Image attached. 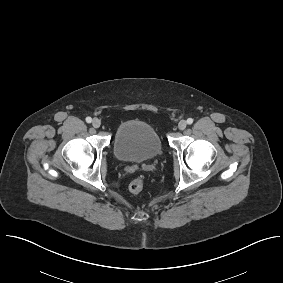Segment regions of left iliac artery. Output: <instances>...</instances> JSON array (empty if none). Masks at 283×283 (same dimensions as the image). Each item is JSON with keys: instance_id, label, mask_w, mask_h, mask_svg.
Wrapping results in <instances>:
<instances>
[{"instance_id": "left-iliac-artery-1", "label": "left iliac artery", "mask_w": 283, "mask_h": 283, "mask_svg": "<svg viewBox=\"0 0 283 283\" xmlns=\"http://www.w3.org/2000/svg\"><path fill=\"white\" fill-rule=\"evenodd\" d=\"M187 123H188V124H192V123H193V119H192V118H188V119H187Z\"/></svg>"}]
</instances>
